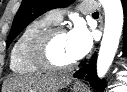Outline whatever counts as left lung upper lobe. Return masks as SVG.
Wrapping results in <instances>:
<instances>
[{
	"label": "left lung upper lobe",
	"instance_id": "1",
	"mask_svg": "<svg viewBox=\"0 0 127 92\" xmlns=\"http://www.w3.org/2000/svg\"><path fill=\"white\" fill-rule=\"evenodd\" d=\"M74 0H22V4L13 20L6 46L19 35V33L34 19L46 11L58 7H66Z\"/></svg>",
	"mask_w": 127,
	"mask_h": 92
}]
</instances>
